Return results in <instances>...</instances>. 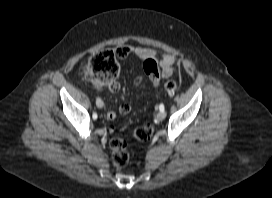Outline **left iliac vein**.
I'll use <instances>...</instances> for the list:
<instances>
[{
	"mask_svg": "<svg viewBox=\"0 0 272 198\" xmlns=\"http://www.w3.org/2000/svg\"><path fill=\"white\" fill-rule=\"evenodd\" d=\"M166 117V112L165 111H160L156 115L157 120L162 121Z\"/></svg>",
	"mask_w": 272,
	"mask_h": 198,
	"instance_id": "4c4485c4",
	"label": "left iliac vein"
}]
</instances>
